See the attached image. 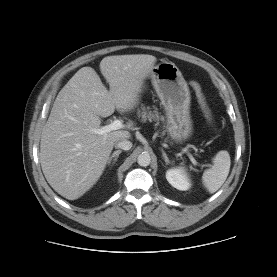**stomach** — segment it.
<instances>
[{
  "label": "stomach",
  "mask_w": 277,
  "mask_h": 277,
  "mask_svg": "<svg viewBox=\"0 0 277 277\" xmlns=\"http://www.w3.org/2000/svg\"><path fill=\"white\" fill-rule=\"evenodd\" d=\"M148 76L165 109L167 133L178 142L187 139L192 133L190 91L181 71L173 62L164 60Z\"/></svg>",
  "instance_id": "0dacf381"
}]
</instances>
